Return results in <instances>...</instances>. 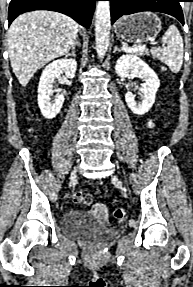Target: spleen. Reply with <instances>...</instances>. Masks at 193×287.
<instances>
[{
	"instance_id": "3e777b00",
	"label": "spleen",
	"mask_w": 193,
	"mask_h": 287,
	"mask_svg": "<svg viewBox=\"0 0 193 287\" xmlns=\"http://www.w3.org/2000/svg\"><path fill=\"white\" fill-rule=\"evenodd\" d=\"M163 47L151 49L153 57L165 63L173 73H178L183 62V40L175 25H170L162 37Z\"/></svg>"
}]
</instances>
